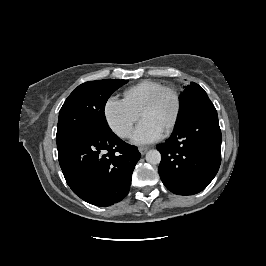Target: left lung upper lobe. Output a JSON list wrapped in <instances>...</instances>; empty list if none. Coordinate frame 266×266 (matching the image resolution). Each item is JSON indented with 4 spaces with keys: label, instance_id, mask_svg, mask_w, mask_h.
<instances>
[{
    "label": "left lung upper lobe",
    "instance_id": "left-lung-upper-lobe-1",
    "mask_svg": "<svg viewBox=\"0 0 266 266\" xmlns=\"http://www.w3.org/2000/svg\"><path fill=\"white\" fill-rule=\"evenodd\" d=\"M181 110L177 124H180L189 114L194 112L200 106L210 103L207 93L201 86L192 82L191 85L185 86L180 95Z\"/></svg>",
    "mask_w": 266,
    "mask_h": 266
}]
</instances>
